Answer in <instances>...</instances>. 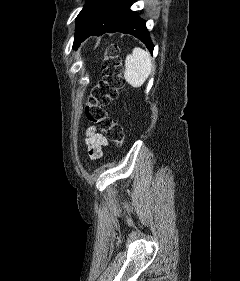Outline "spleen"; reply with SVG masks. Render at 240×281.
Segmentation results:
<instances>
[{
    "instance_id": "obj_1",
    "label": "spleen",
    "mask_w": 240,
    "mask_h": 281,
    "mask_svg": "<svg viewBox=\"0 0 240 281\" xmlns=\"http://www.w3.org/2000/svg\"><path fill=\"white\" fill-rule=\"evenodd\" d=\"M151 70V56L147 51L135 47L132 54L126 56L124 78L132 87H141L149 77Z\"/></svg>"
}]
</instances>
